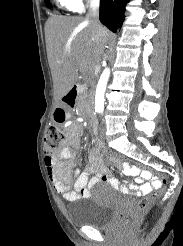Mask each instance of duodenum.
Here are the masks:
<instances>
[{
    "mask_svg": "<svg viewBox=\"0 0 183 246\" xmlns=\"http://www.w3.org/2000/svg\"><path fill=\"white\" fill-rule=\"evenodd\" d=\"M83 91L82 85H74L71 89L63 96V101L68 107L75 108L78 103L79 95ZM92 149L95 148L96 151H99L100 148H105L106 144L102 143L101 139H93L91 144Z\"/></svg>",
    "mask_w": 183,
    "mask_h": 246,
    "instance_id": "duodenum-1",
    "label": "duodenum"
}]
</instances>
